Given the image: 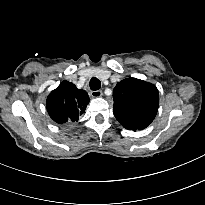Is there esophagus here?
Segmentation results:
<instances>
[{
    "label": "esophagus",
    "instance_id": "esophagus-1",
    "mask_svg": "<svg viewBox=\"0 0 205 205\" xmlns=\"http://www.w3.org/2000/svg\"><path fill=\"white\" fill-rule=\"evenodd\" d=\"M102 94H103V93H102L101 90L91 91V93H90V95H91L93 98L101 97Z\"/></svg>",
    "mask_w": 205,
    "mask_h": 205
}]
</instances>
